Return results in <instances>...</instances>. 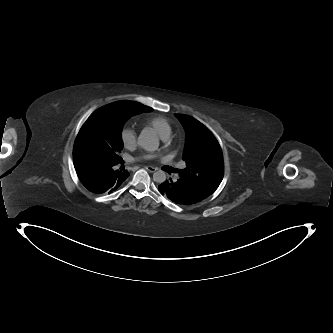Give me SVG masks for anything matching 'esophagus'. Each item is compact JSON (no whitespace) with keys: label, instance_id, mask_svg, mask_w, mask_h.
Instances as JSON below:
<instances>
[{"label":"esophagus","instance_id":"34e87169","mask_svg":"<svg viewBox=\"0 0 333 333\" xmlns=\"http://www.w3.org/2000/svg\"><path fill=\"white\" fill-rule=\"evenodd\" d=\"M150 173H153L155 171H157V168L153 167V166H146L145 167Z\"/></svg>","mask_w":333,"mask_h":333}]
</instances>
